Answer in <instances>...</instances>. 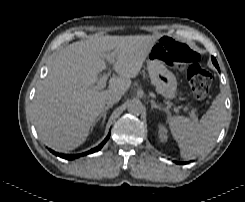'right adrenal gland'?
I'll return each instance as SVG.
<instances>
[{
	"label": "right adrenal gland",
	"mask_w": 245,
	"mask_h": 202,
	"mask_svg": "<svg viewBox=\"0 0 245 202\" xmlns=\"http://www.w3.org/2000/svg\"><path fill=\"white\" fill-rule=\"evenodd\" d=\"M110 108H112V105L106 106V107L103 109V111H102V113L100 114V116L98 117L97 121H100V120L102 119L101 126L104 124L105 119H106V113H107V111H108Z\"/></svg>",
	"instance_id": "right-adrenal-gland-1"
}]
</instances>
